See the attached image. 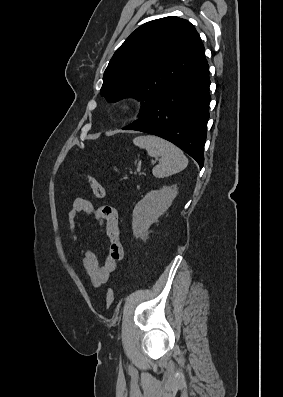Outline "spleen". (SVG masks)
<instances>
[{"label": "spleen", "mask_w": 283, "mask_h": 397, "mask_svg": "<svg viewBox=\"0 0 283 397\" xmlns=\"http://www.w3.org/2000/svg\"><path fill=\"white\" fill-rule=\"evenodd\" d=\"M134 145L145 149L151 157H159V164L152 173L156 178H165L184 170L188 159L177 146L153 135L138 136L133 139Z\"/></svg>", "instance_id": "obj_1"}]
</instances>
